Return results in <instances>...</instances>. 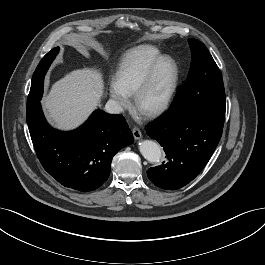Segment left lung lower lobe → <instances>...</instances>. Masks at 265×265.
<instances>
[{
  "label": "left lung lower lobe",
  "mask_w": 265,
  "mask_h": 265,
  "mask_svg": "<svg viewBox=\"0 0 265 265\" xmlns=\"http://www.w3.org/2000/svg\"><path fill=\"white\" fill-rule=\"evenodd\" d=\"M223 126L193 111H168L146 127L163 147L167 162L147 170L156 186L176 190L191 182L206 166L222 136Z\"/></svg>",
  "instance_id": "left-lung-lower-lobe-1"
}]
</instances>
